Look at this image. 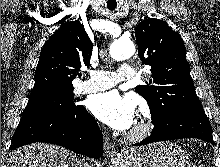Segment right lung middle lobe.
<instances>
[{
	"label": "right lung middle lobe",
	"instance_id": "obj_1",
	"mask_svg": "<svg viewBox=\"0 0 220 167\" xmlns=\"http://www.w3.org/2000/svg\"><path fill=\"white\" fill-rule=\"evenodd\" d=\"M79 106L74 98L73 89H69L52 95L29 99L22 116L41 110L70 112L76 110Z\"/></svg>",
	"mask_w": 220,
	"mask_h": 167
}]
</instances>
